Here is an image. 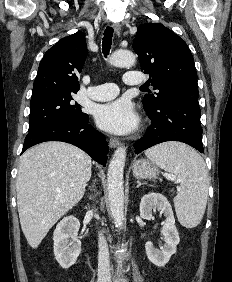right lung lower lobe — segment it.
<instances>
[{
    "instance_id": "1",
    "label": "right lung lower lobe",
    "mask_w": 232,
    "mask_h": 282,
    "mask_svg": "<svg viewBox=\"0 0 232 282\" xmlns=\"http://www.w3.org/2000/svg\"><path fill=\"white\" fill-rule=\"evenodd\" d=\"M83 119H60L41 128L31 130L25 137L22 152L45 141L71 143L85 151L95 161L106 166L108 144L105 136Z\"/></svg>"
}]
</instances>
